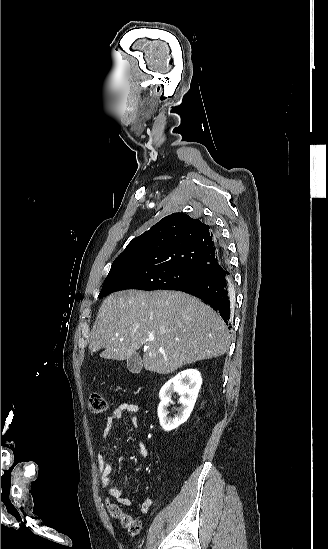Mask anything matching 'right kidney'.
<instances>
[{
  "label": "right kidney",
  "instance_id": "1",
  "mask_svg": "<svg viewBox=\"0 0 328 549\" xmlns=\"http://www.w3.org/2000/svg\"><path fill=\"white\" fill-rule=\"evenodd\" d=\"M201 385V373L197 369L181 371V373H178V375H175L173 379H170V381H167L163 385L159 393L161 403L158 405V417L164 431H173V429H177L179 425L187 421L196 403ZM173 393L181 395L179 403H181L183 409L180 415H177L174 419H170V417H167L169 415L167 407H169V403H172L171 395Z\"/></svg>",
  "mask_w": 328,
  "mask_h": 549
}]
</instances>
